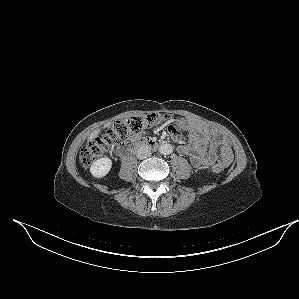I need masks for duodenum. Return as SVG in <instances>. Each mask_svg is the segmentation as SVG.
<instances>
[{"instance_id":"obj_1","label":"duodenum","mask_w":299,"mask_h":299,"mask_svg":"<svg viewBox=\"0 0 299 299\" xmlns=\"http://www.w3.org/2000/svg\"><path fill=\"white\" fill-rule=\"evenodd\" d=\"M159 146V143L153 139H149V138H136L133 139L131 141L126 142L125 144H123L120 149L119 152L121 155H127L131 152H133L134 150L141 148V147H148V148H157Z\"/></svg>"}]
</instances>
